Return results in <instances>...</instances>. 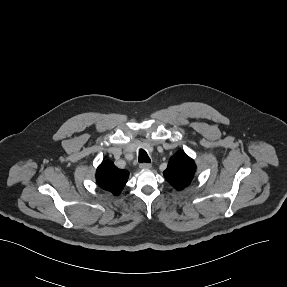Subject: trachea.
<instances>
[{
	"instance_id": "trachea-1",
	"label": "trachea",
	"mask_w": 287,
	"mask_h": 287,
	"mask_svg": "<svg viewBox=\"0 0 287 287\" xmlns=\"http://www.w3.org/2000/svg\"><path fill=\"white\" fill-rule=\"evenodd\" d=\"M138 160L140 163H150L151 162V159L149 158L148 154L143 149L139 150Z\"/></svg>"
}]
</instances>
